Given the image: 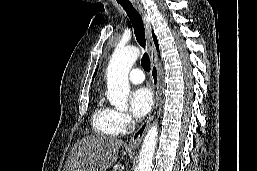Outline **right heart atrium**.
Wrapping results in <instances>:
<instances>
[{
  "instance_id": "1",
  "label": "right heart atrium",
  "mask_w": 257,
  "mask_h": 171,
  "mask_svg": "<svg viewBox=\"0 0 257 171\" xmlns=\"http://www.w3.org/2000/svg\"><path fill=\"white\" fill-rule=\"evenodd\" d=\"M117 121L122 130H125L131 124L130 116L124 111H116Z\"/></svg>"
}]
</instances>
